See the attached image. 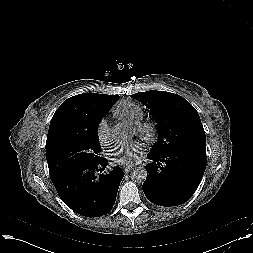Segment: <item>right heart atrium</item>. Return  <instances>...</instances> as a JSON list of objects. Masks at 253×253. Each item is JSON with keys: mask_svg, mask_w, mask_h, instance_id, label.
I'll list each match as a JSON object with an SVG mask.
<instances>
[{"mask_svg": "<svg viewBox=\"0 0 253 253\" xmlns=\"http://www.w3.org/2000/svg\"><path fill=\"white\" fill-rule=\"evenodd\" d=\"M97 138L103 145L108 144L111 140V129L106 119H101L97 125Z\"/></svg>", "mask_w": 253, "mask_h": 253, "instance_id": "d8ad5b80", "label": "right heart atrium"}]
</instances>
